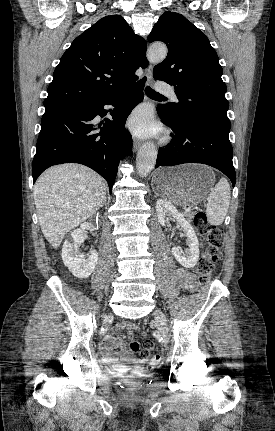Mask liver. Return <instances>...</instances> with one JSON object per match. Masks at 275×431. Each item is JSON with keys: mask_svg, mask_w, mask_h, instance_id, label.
Listing matches in <instances>:
<instances>
[{"mask_svg": "<svg viewBox=\"0 0 275 431\" xmlns=\"http://www.w3.org/2000/svg\"><path fill=\"white\" fill-rule=\"evenodd\" d=\"M33 195L42 233L58 248L67 232L100 208L106 186L92 169L69 163L47 169L35 183Z\"/></svg>", "mask_w": 275, "mask_h": 431, "instance_id": "obj_1", "label": "liver"}]
</instances>
